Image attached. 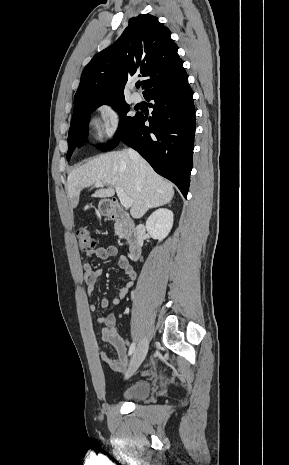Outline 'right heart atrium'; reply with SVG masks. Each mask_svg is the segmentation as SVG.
<instances>
[{
  "label": "right heart atrium",
  "mask_w": 289,
  "mask_h": 465,
  "mask_svg": "<svg viewBox=\"0 0 289 465\" xmlns=\"http://www.w3.org/2000/svg\"><path fill=\"white\" fill-rule=\"evenodd\" d=\"M100 120L98 130L101 136L113 139L119 133L121 125V115L119 110L112 103L106 102L98 106Z\"/></svg>",
  "instance_id": "1"
}]
</instances>
